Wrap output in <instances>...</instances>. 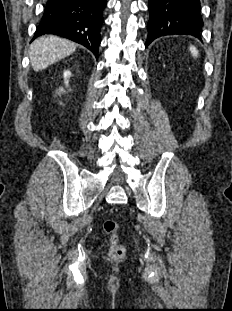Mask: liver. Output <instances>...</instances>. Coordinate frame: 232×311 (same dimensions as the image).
Instances as JSON below:
<instances>
[{
	"mask_svg": "<svg viewBox=\"0 0 232 311\" xmlns=\"http://www.w3.org/2000/svg\"><path fill=\"white\" fill-rule=\"evenodd\" d=\"M75 49L76 45L67 39L54 35L39 37L30 46L31 66L34 71H41L69 56Z\"/></svg>",
	"mask_w": 232,
	"mask_h": 311,
	"instance_id": "1",
	"label": "liver"
}]
</instances>
